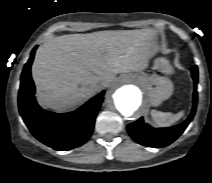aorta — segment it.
I'll return each instance as SVG.
<instances>
[{"instance_id":"aorta-1","label":"aorta","mask_w":212,"mask_h":183,"mask_svg":"<svg viewBox=\"0 0 212 183\" xmlns=\"http://www.w3.org/2000/svg\"><path fill=\"white\" fill-rule=\"evenodd\" d=\"M111 99L117 111L131 116L141 105V91L134 85H123L114 89Z\"/></svg>"}]
</instances>
